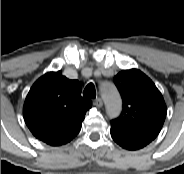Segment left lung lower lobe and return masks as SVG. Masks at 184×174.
Here are the masks:
<instances>
[{"instance_id": "0a47b994", "label": "left lung lower lobe", "mask_w": 184, "mask_h": 174, "mask_svg": "<svg viewBox=\"0 0 184 174\" xmlns=\"http://www.w3.org/2000/svg\"><path fill=\"white\" fill-rule=\"evenodd\" d=\"M110 132L113 140L118 145L128 150L141 149L152 141L148 138L132 135L114 126H111Z\"/></svg>"}]
</instances>
